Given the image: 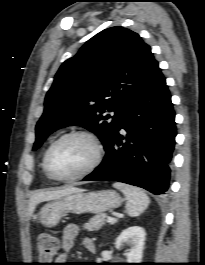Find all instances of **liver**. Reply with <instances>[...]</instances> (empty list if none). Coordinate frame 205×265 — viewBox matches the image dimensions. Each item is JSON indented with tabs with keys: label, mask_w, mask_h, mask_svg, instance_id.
Returning a JSON list of instances; mask_svg holds the SVG:
<instances>
[{
	"label": "liver",
	"mask_w": 205,
	"mask_h": 265,
	"mask_svg": "<svg viewBox=\"0 0 205 265\" xmlns=\"http://www.w3.org/2000/svg\"><path fill=\"white\" fill-rule=\"evenodd\" d=\"M84 189L76 188L74 186H65L61 189L54 190V191H38L32 195L29 201V216H31L34 212L35 207L37 204L45 201L59 199L66 195L83 192Z\"/></svg>",
	"instance_id": "1"
}]
</instances>
